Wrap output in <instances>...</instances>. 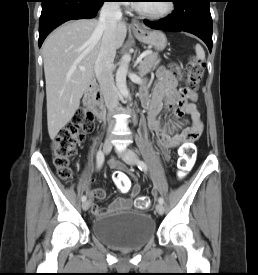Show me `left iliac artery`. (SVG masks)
Wrapping results in <instances>:
<instances>
[{
  "label": "left iliac artery",
  "mask_w": 258,
  "mask_h": 275,
  "mask_svg": "<svg viewBox=\"0 0 258 275\" xmlns=\"http://www.w3.org/2000/svg\"><path fill=\"white\" fill-rule=\"evenodd\" d=\"M137 165H138V168L141 170V171H144L146 172L147 171V165L145 164V162L141 161V160H138L137 161ZM158 202L163 204L164 203V200L162 197H159L158 199Z\"/></svg>",
  "instance_id": "obj_1"
}]
</instances>
